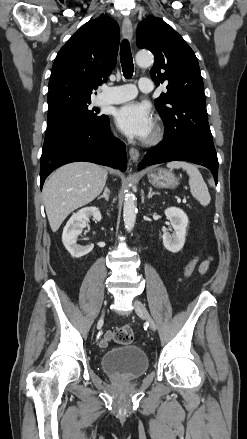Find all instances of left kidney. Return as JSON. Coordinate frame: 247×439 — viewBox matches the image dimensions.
I'll return each mask as SVG.
<instances>
[{"instance_id": "5707ae66", "label": "left kidney", "mask_w": 247, "mask_h": 439, "mask_svg": "<svg viewBox=\"0 0 247 439\" xmlns=\"http://www.w3.org/2000/svg\"><path fill=\"white\" fill-rule=\"evenodd\" d=\"M165 215L171 223L173 233L167 232L163 234V245L168 251L177 253L184 246L189 220L186 213L176 207L167 208Z\"/></svg>"}]
</instances>
